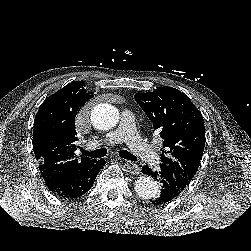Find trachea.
<instances>
[{"label": "trachea", "mask_w": 251, "mask_h": 251, "mask_svg": "<svg viewBox=\"0 0 251 251\" xmlns=\"http://www.w3.org/2000/svg\"><path fill=\"white\" fill-rule=\"evenodd\" d=\"M81 152H82L83 155L91 156L93 158H100V157H104L107 154V149L106 148H100V149H96V150L91 151V152L81 149ZM119 155L122 158L130 160V161H136L137 160V158L133 154L129 153L127 150H120Z\"/></svg>", "instance_id": "trachea-1"}]
</instances>
